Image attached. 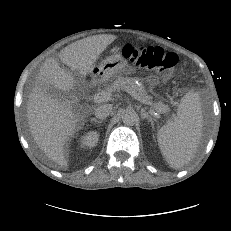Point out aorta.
I'll use <instances>...</instances> for the list:
<instances>
[{
	"label": "aorta",
	"mask_w": 231,
	"mask_h": 231,
	"mask_svg": "<svg viewBox=\"0 0 231 231\" xmlns=\"http://www.w3.org/2000/svg\"><path fill=\"white\" fill-rule=\"evenodd\" d=\"M122 121L126 125H134L137 121V114L133 109H126L122 114Z\"/></svg>",
	"instance_id": "1"
}]
</instances>
